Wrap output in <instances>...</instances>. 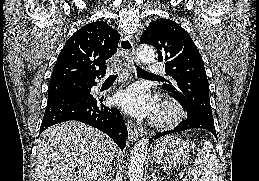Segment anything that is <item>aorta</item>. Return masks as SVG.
I'll use <instances>...</instances> for the list:
<instances>
[{"instance_id": "aorta-1", "label": "aorta", "mask_w": 259, "mask_h": 181, "mask_svg": "<svg viewBox=\"0 0 259 181\" xmlns=\"http://www.w3.org/2000/svg\"><path fill=\"white\" fill-rule=\"evenodd\" d=\"M139 59L148 63L154 60L155 53L148 45H141L137 50ZM148 149V139L142 138L134 146L130 154L128 176L130 181H142L144 164Z\"/></svg>"}]
</instances>
